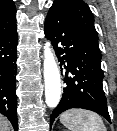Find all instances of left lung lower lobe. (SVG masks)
Masks as SVG:
<instances>
[{"mask_svg": "<svg viewBox=\"0 0 117 131\" xmlns=\"http://www.w3.org/2000/svg\"><path fill=\"white\" fill-rule=\"evenodd\" d=\"M44 32L52 42L64 77V93L51 114V125L60 113L71 108L94 111L110 122L101 56L85 44L70 12L65 7L52 6Z\"/></svg>", "mask_w": 117, "mask_h": 131, "instance_id": "1", "label": "left lung lower lobe"}]
</instances>
